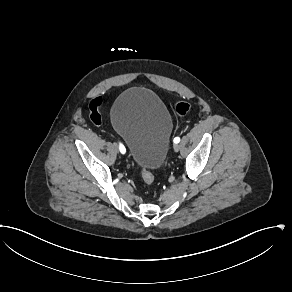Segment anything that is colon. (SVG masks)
<instances>
[{
	"label": "colon",
	"instance_id": "5ec220e1",
	"mask_svg": "<svg viewBox=\"0 0 292 292\" xmlns=\"http://www.w3.org/2000/svg\"><path fill=\"white\" fill-rule=\"evenodd\" d=\"M103 100L104 96L101 93H98L95 96L94 101L89 104V107L92 109L90 113V120L94 124H99L101 122L100 115L93 110H95L98 107V104H100ZM174 109L176 113L183 115L190 109V105L187 102H177L174 104ZM141 176L147 187H151L154 184V175L145 165L141 167Z\"/></svg>",
	"mask_w": 292,
	"mask_h": 292
}]
</instances>
